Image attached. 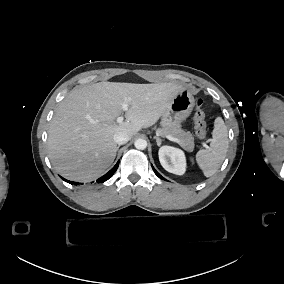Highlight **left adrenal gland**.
Returning a JSON list of instances; mask_svg holds the SVG:
<instances>
[{
	"instance_id": "a2214340",
	"label": "left adrenal gland",
	"mask_w": 284,
	"mask_h": 284,
	"mask_svg": "<svg viewBox=\"0 0 284 284\" xmlns=\"http://www.w3.org/2000/svg\"><path fill=\"white\" fill-rule=\"evenodd\" d=\"M153 138L156 139L157 145L160 146L162 140L157 136H154Z\"/></svg>"
}]
</instances>
